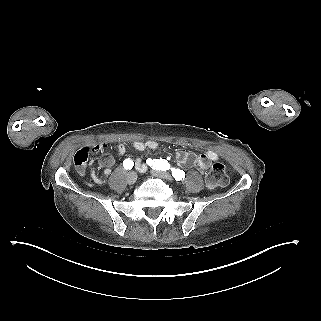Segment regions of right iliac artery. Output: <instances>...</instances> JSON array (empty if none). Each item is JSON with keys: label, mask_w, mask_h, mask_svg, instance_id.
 Returning <instances> with one entry per match:
<instances>
[{"label": "right iliac artery", "mask_w": 321, "mask_h": 321, "mask_svg": "<svg viewBox=\"0 0 321 321\" xmlns=\"http://www.w3.org/2000/svg\"><path fill=\"white\" fill-rule=\"evenodd\" d=\"M123 166H124L125 169L130 170L134 166V162L129 158L125 159L123 161Z\"/></svg>", "instance_id": "right-iliac-artery-1"}]
</instances>
